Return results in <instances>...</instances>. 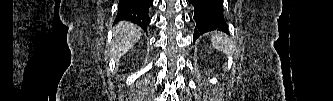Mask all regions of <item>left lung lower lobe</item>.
Returning a JSON list of instances; mask_svg holds the SVG:
<instances>
[{"instance_id":"obj_1","label":"left lung lower lobe","mask_w":333,"mask_h":101,"mask_svg":"<svg viewBox=\"0 0 333 101\" xmlns=\"http://www.w3.org/2000/svg\"><path fill=\"white\" fill-rule=\"evenodd\" d=\"M194 6V20L196 27L193 34V42L205 32L219 30L228 32L223 15V0H189Z\"/></svg>"}]
</instances>
